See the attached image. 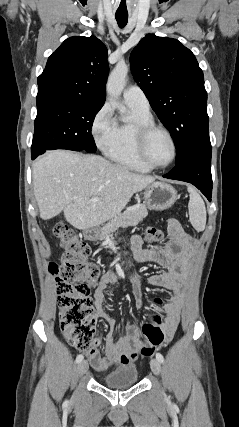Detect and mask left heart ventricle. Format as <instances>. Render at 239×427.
I'll use <instances>...</instances> for the list:
<instances>
[{
  "label": "left heart ventricle",
  "instance_id": "b2bd125f",
  "mask_svg": "<svg viewBox=\"0 0 239 427\" xmlns=\"http://www.w3.org/2000/svg\"><path fill=\"white\" fill-rule=\"evenodd\" d=\"M147 156L156 165H163L171 159L172 146L166 135L161 132L152 135L147 146Z\"/></svg>",
  "mask_w": 239,
  "mask_h": 427
}]
</instances>
